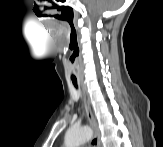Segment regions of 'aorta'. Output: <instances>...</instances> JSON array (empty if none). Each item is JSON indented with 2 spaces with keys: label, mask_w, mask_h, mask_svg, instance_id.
<instances>
[{
  "label": "aorta",
  "mask_w": 163,
  "mask_h": 147,
  "mask_svg": "<svg viewBox=\"0 0 163 147\" xmlns=\"http://www.w3.org/2000/svg\"><path fill=\"white\" fill-rule=\"evenodd\" d=\"M92 136V130L88 126L71 127L67 130L64 138L66 147H79L87 142Z\"/></svg>",
  "instance_id": "obj_1"
}]
</instances>
